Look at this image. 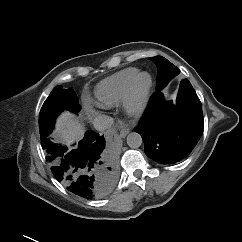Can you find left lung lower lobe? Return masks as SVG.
I'll use <instances>...</instances> for the list:
<instances>
[{
	"label": "left lung lower lobe",
	"mask_w": 242,
	"mask_h": 242,
	"mask_svg": "<svg viewBox=\"0 0 242 242\" xmlns=\"http://www.w3.org/2000/svg\"><path fill=\"white\" fill-rule=\"evenodd\" d=\"M134 130L143 139L146 155L155 162L174 164L184 160L204 130L201 102L191 83L181 81L176 105L165 101L161 89H156Z\"/></svg>",
	"instance_id": "0a47b994"
}]
</instances>
